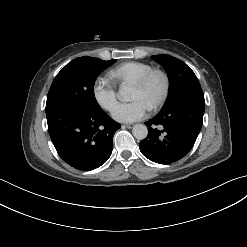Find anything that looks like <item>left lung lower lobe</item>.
<instances>
[{
  "label": "left lung lower lobe",
  "mask_w": 247,
  "mask_h": 247,
  "mask_svg": "<svg viewBox=\"0 0 247 247\" xmlns=\"http://www.w3.org/2000/svg\"><path fill=\"white\" fill-rule=\"evenodd\" d=\"M205 103L188 102L158 113L146 122L148 136L139 148L149 160L170 164L193 147L202 127Z\"/></svg>",
  "instance_id": "left-lung-lower-lobe-1"
}]
</instances>
